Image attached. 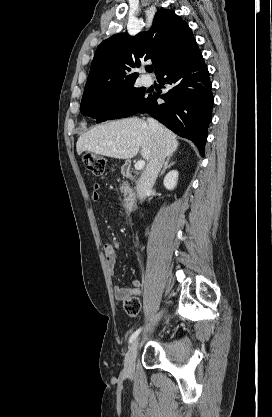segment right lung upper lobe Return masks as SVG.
Listing matches in <instances>:
<instances>
[{
  "instance_id": "1",
  "label": "right lung upper lobe",
  "mask_w": 272,
  "mask_h": 417,
  "mask_svg": "<svg viewBox=\"0 0 272 417\" xmlns=\"http://www.w3.org/2000/svg\"><path fill=\"white\" fill-rule=\"evenodd\" d=\"M195 42L188 24L172 10L156 12L153 26L135 37L119 33L97 48L84 94L115 91L134 86L139 67L151 60L158 73L183 55ZM83 94V95H84Z\"/></svg>"
}]
</instances>
